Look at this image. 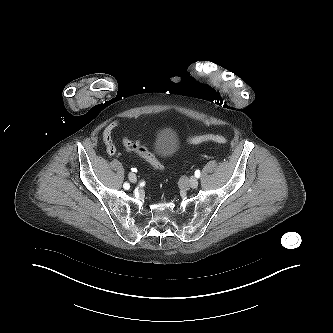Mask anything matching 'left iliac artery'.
Returning a JSON list of instances; mask_svg holds the SVG:
<instances>
[{
	"label": "left iliac artery",
	"mask_w": 333,
	"mask_h": 333,
	"mask_svg": "<svg viewBox=\"0 0 333 333\" xmlns=\"http://www.w3.org/2000/svg\"><path fill=\"white\" fill-rule=\"evenodd\" d=\"M195 177H196V178H199V177H200V170H196V171H195Z\"/></svg>",
	"instance_id": "obj_1"
}]
</instances>
